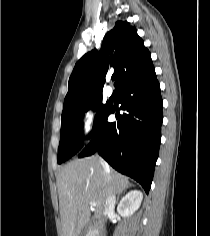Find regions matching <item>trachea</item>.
<instances>
[{"mask_svg": "<svg viewBox=\"0 0 210 236\" xmlns=\"http://www.w3.org/2000/svg\"><path fill=\"white\" fill-rule=\"evenodd\" d=\"M115 78H116V76H115V75H112L111 79H112L113 81L115 80Z\"/></svg>", "mask_w": 210, "mask_h": 236, "instance_id": "trachea-1", "label": "trachea"}]
</instances>
